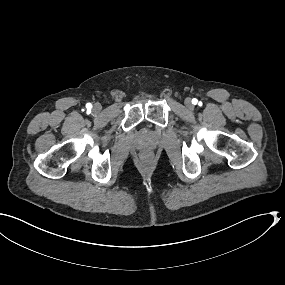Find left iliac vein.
I'll return each mask as SVG.
<instances>
[{
	"label": "left iliac vein",
	"mask_w": 285,
	"mask_h": 285,
	"mask_svg": "<svg viewBox=\"0 0 285 285\" xmlns=\"http://www.w3.org/2000/svg\"><path fill=\"white\" fill-rule=\"evenodd\" d=\"M185 105H186V107H187L188 109H193V108H194V106H193V104H192L190 98H187V99L185 100Z\"/></svg>",
	"instance_id": "1"
}]
</instances>
